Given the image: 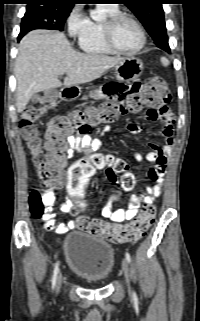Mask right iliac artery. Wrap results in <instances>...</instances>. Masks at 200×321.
Wrapping results in <instances>:
<instances>
[{
	"label": "right iliac artery",
	"instance_id": "1",
	"mask_svg": "<svg viewBox=\"0 0 200 321\" xmlns=\"http://www.w3.org/2000/svg\"><path fill=\"white\" fill-rule=\"evenodd\" d=\"M59 271V262L55 264L54 272H53V277H52V289L55 288L56 286V281H57V274Z\"/></svg>",
	"mask_w": 200,
	"mask_h": 321
}]
</instances>
